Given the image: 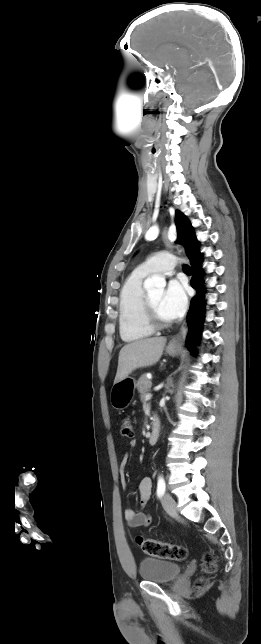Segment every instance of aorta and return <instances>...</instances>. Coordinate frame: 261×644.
<instances>
[{"instance_id":"obj_1","label":"aorta","mask_w":261,"mask_h":644,"mask_svg":"<svg viewBox=\"0 0 261 644\" xmlns=\"http://www.w3.org/2000/svg\"><path fill=\"white\" fill-rule=\"evenodd\" d=\"M165 286H166V280H165V278H163V277H161V276H156V275H155V276H152V277L147 278V279L145 280V282H144V288H145L147 291H151V290H153V289H155V288H157V289H163Z\"/></svg>"}]
</instances>
